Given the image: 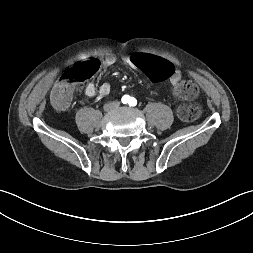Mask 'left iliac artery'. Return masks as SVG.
<instances>
[{"instance_id":"left-iliac-artery-1","label":"left iliac artery","mask_w":253,"mask_h":253,"mask_svg":"<svg viewBox=\"0 0 253 253\" xmlns=\"http://www.w3.org/2000/svg\"><path fill=\"white\" fill-rule=\"evenodd\" d=\"M136 104H137V100L134 97H131L129 99V105L130 106H136Z\"/></svg>"}]
</instances>
